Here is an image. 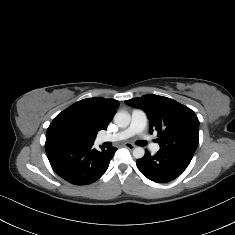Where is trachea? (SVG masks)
Listing matches in <instances>:
<instances>
[{"mask_svg": "<svg viewBox=\"0 0 235 235\" xmlns=\"http://www.w3.org/2000/svg\"><path fill=\"white\" fill-rule=\"evenodd\" d=\"M140 145H141V146L144 145V141H141V144H140Z\"/></svg>", "mask_w": 235, "mask_h": 235, "instance_id": "3493384b", "label": "trachea"}]
</instances>
